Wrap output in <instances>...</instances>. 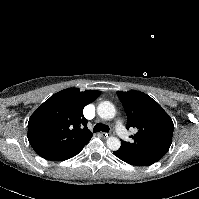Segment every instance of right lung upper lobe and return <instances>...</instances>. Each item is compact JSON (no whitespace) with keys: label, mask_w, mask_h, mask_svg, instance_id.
<instances>
[{"label":"right lung upper lobe","mask_w":199,"mask_h":199,"mask_svg":"<svg viewBox=\"0 0 199 199\" xmlns=\"http://www.w3.org/2000/svg\"><path fill=\"white\" fill-rule=\"evenodd\" d=\"M100 95L68 88L52 95L30 117L28 140L40 156L63 152L91 139L83 108Z\"/></svg>","instance_id":"obj_1"}]
</instances>
